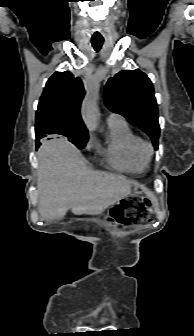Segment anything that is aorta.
I'll return each instance as SVG.
<instances>
[{
  "instance_id": "1",
  "label": "aorta",
  "mask_w": 194,
  "mask_h": 336,
  "mask_svg": "<svg viewBox=\"0 0 194 336\" xmlns=\"http://www.w3.org/2000/svg\"><path fill=\"white\" fill-rule=\"evenodd\" d=\"M99 86L92 84L86 93L82 103V118L86 126L95 130L99 124V111L97 106Z\"/></svg>"
}]
</instances>
